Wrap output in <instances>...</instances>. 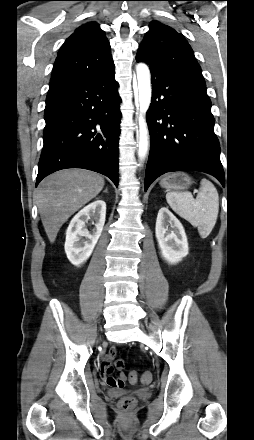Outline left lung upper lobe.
<instances>
[{
	"instance_id": "5c2ea615",
	"label": "left lung upper lobe",
	"mask_w": 254,
	"mask_h": 440,
	"mask_svg": "<svg viewBox=\"0 0 254 440\" xmlns=\"http://www.w3.org/2000/svg\"><path fill=\"white\" fill-rule=\"evenodd\" d=\"M149 27L136 58L178 72L206 90L201 68L183 35L158 21H152Z\"/></svg>"
}]
</instances>
